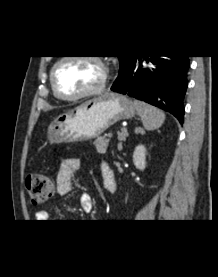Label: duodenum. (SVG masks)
Masks as SVG:
<instances>
[{
  "mask_svg": "<svg viewBox=\"0 0 218 277\" xmlns=\"http://www.w3.org/2000/svg\"><path fill=\"white\" fill-rule=\"evenodd\" d=\"M101 172L104 178V181L107 185H113V188L108 190L109 192H113L115 190V180L114 176L110 174V169L107 165H103L101 167Z\"/></svg>",
  "mask_w": 218,
  "mask_h": 277,
  "instance_id": "obj_1",
  "label": "duodenum"
}]
</instances>
